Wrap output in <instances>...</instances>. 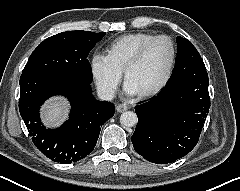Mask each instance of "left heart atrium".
Listing matches in <instances>:
<instances>
[{"label": "left heart atrium", "instance_id": "39dd6f15", "mask_svg": "<svg viewBox=\"0 0 240 191\" xmlns=\"http://www.w3.org/2000/svg\"><path fill=\"white\" fill-rule=\"evenodd\" d=\"M124 89H125V92L130 95H135L139 93L138 89L127 79L124 84Z\"/></svg>", "mask_w": 240, "mask_h": 191}]
</instances>
